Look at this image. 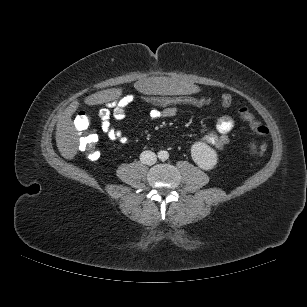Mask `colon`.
I'll list each match as a JSON object with an SVG mask.
<instances>
[{
    "mask_svg": "<svg viewBox=\"0 0 307 307\" xmlns=\"http://www.w3.org/2000/svg\"><path fill=\"white\" fill-rule=\"evenodd\" d=\"M136 99L134 98L133 102ZM143 104L155 108L176 107L178 105H190L203 107L218 104L221 106H229L233 103V97L229 93H224L219 99L200 95H166V96H143L139 99ZM132 102V103H133ZM131 103V104H132ZM130 106V105H129ZM238 113L240 117L249 124V126L259 135L265 136L269 133L267 126L258 121L249 107L242 101H237ZM75 127L79 131L80 149L91 160H96L99 157L97 149L98 135L89 131L90 118L86 112H79L74 120ZM265 144H261L258 148V153L262 155L265 152Z\"/></svg>",
    "mask_w": 307,
    "mask_h": 307,
    "instance_id": "1",
    "label": "colon"
}]
</instances>
